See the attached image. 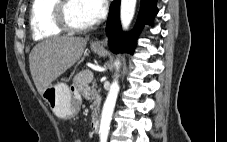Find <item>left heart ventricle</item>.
Returning a JSON list of instances; mask_svg holds the SVG:
<instances>
[{
    "instance_id": "obj_1",
    "label": "left heart ventricle",
    "mask_w": 227,
    "mask_h": 142,
    "mask_svg": "<svg viewBox=\"0 0 227 142\" xmlns=\"http://www.w3.org/2000/svg\"><path fill=\"white\" fill-rule=\"evenodd\" d=\"M67 14L70 21L75 25L82 26L92 23V20L83 8L81 0H70L67 7Z\"/></svg>"
}]
</instances>
